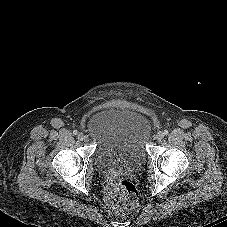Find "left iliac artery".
<instances>
[{
	"instance_id": "obj_1",
	"label": "left iliac artery",
	"mask_w": 227,
	"mask_h": 227,
	"mask_svg": "<svg viewBox=\"0 0 227 227\" xmlns=\"http://www.w3.org/2000/svg\"><path fill=\"white\" fill-rule=\"evenodd\" d=\"M169 132L167 130L164 131V134L167 135Z\"/></svg>"
}]
</instances>
